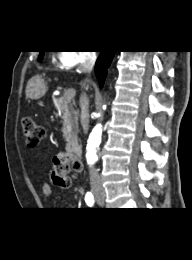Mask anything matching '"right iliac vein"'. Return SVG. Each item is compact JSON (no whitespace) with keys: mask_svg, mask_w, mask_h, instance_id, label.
Listing matches in <instances>:
<instances>
[{"mask_svg":"<svg viewBox=\"0 0 192 260\" xmlns=\"http://www.w3.org/2000/svg\"><path fill=\"white\" fill-rule=\"evenodd\" d=\"M100 195H101V193H98V194H97V196H100Z\"/></svg>","mask_w":192,"mask_h":260,"instance_id":"1","label":"right iliac vein"}]
</instances>
